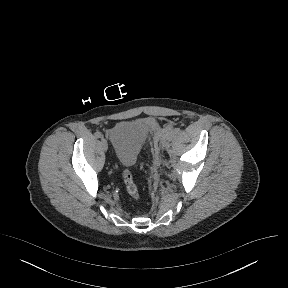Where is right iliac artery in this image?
Returning a JSON list of instances; mask_svg holds the SVG:
<instances>
[{"mask_svg":"<svg viewBox=\"0 0 288 288\" xmlns=\"http://www.w3.org/2000/svg\"><path fill=\"white\" fill-rule=\"evenodd\" d=\"M95 137H96V138H102V134H101L100 132H96V133H95Z\"/></svg>","mask_w":288,"mask_h":288,"instance_id":"1","label":"right iliac artery"}]
</instances>
